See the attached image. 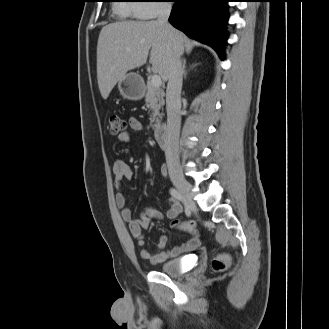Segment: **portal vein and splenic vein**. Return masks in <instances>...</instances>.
Instances as JSON below:
<instances>
[{"instance_id": "1", "label": "portal vein and splenic vein", "mask_w": 329, "mask_h": 329, "mask_svg": "<svg viewBox=\"0 0 329 329\" xmlns=\"http://www.w3.org/2000/svg\"><path fill=\"white\" fill-rule=\"evenodd\" d=\"M151 84L154 86V87H160L161 84H162V81H161V77L157 74H154L152 77H151Z\"/></svg>"}]
</instances>
